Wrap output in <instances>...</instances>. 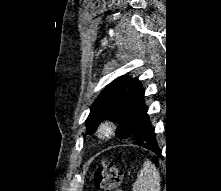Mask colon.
I'll list each match as a JSON object with an SVG mask.
<instances>
[{
  "mask_svg": "<svg viewBox=\"0 0 221 191\" xmlns=\"http://www.w3.org/2000/svg\"><path fill=\"white\" fill-rule=\"evenodd\" d=\"M121 172L112 162H104L95 174V184L99 191H119Z\"/></svg>",
  "mask_w": 221,
  "mask_h": 191,
  "instance_id": "1",
  "label": "colon"
}]
</instances>
